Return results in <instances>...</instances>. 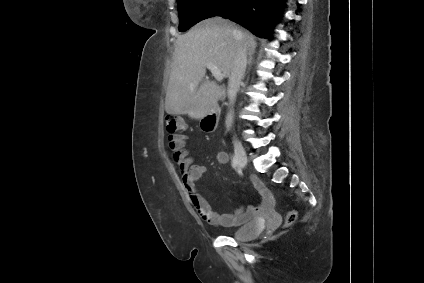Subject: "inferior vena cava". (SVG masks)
<instances>
[{"mask_svg":"<svg viewBox=\"0 0 424 283\" xmlns=\"http://www.w3.org/2000/svg\"><path fill=\"white\" fill-rule=\"evenodd\" d=\"M246 53L247 52H246L245 46L239 47L232 63V69H231V74L229 77L228 90H227L231 105H233L235 101L239 86L245 74L246 65H247ZM232 115H233V111L230 110L229 117L231 118Z\"/></svg>","mask_w":424,"mask_h":283,"instance_id":"inferior-vena-cava-1","label":"inferior vena cava"}]
</instances>
